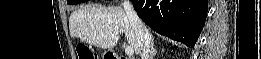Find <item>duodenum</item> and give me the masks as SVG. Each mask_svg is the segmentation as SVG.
Wrapping results in <instances>:
<instances>
[{
    "label": "duodenum",
    "instance_id": "obj_1",
    "mask_svg": "<svg viewBox=\"0 0 261 59\" xmlns=\"http://www.w3.org/2000/svg\"><path fill=\"white\" fill-rule=\"evenodd\" d=\"M110 59H128L127 57L118 55V54H114V53H110Z\"/></svg>",
    "mask_w": 261,
    "mask_h": 59
}]
</instances>
